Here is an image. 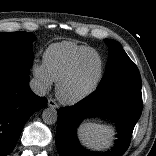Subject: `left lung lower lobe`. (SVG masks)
Listing matches in <instances>:
<instances>
[{
	"label": "left lung lower lobe",
	"instance_id": "obj_1",
	"mask_svg": "<svg viewBox=\"0 0 156 156\" xmlns=\"http://www.w3.org/2000/svg\"><path fill=\"white\" fill-rule=\"evenodd\" d=\"M142 112L141 87L111 85L96 89L72 107L58 111L56 146L60 156H121L129 146L134 126ZM111 118L119 129L114 148L105 153L84 149L76 137L83 118Z\"/></svg>",
	"mask_w": 156,
	"mask_h": 156
}]
</instances>
